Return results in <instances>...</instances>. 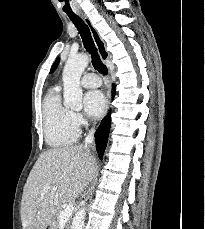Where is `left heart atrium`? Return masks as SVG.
Returning <instances> with one entry per match:
<instances>
[{
    "mask_svg": "<svg viewBox=\"0 0 205 229\" xmlns=\"http://www.w3.org/2000/svg\"><path fill=\"white\" fill-rule=\"evenodd\" d=\"M85 111L93 117L101 116L106 109V98L101 91H89L84 96Z\"/></svg>",
    "mask_w": 205,
    "mask_h": 229,
    "instance_id": "1",
    "label": "left heart atrium"
}]
</instances>
